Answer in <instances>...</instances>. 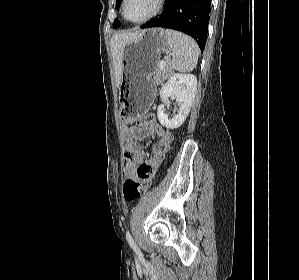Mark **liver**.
I'll use <instances>...</instances> for the list:
<instances>
[{
  "mask_svg": "<svg viewBox=\"0 0 299 280\" xmlns=\"http://www.w3.org/2000/svg\"><path fill=\"white\" fill-rule=\"evenodd\" d=\"M140 32H122L116 33L111 38V54L115 70V82L118 88L122 80V61L124 55V47L127 43L133 41Z\"/></svg>",
  "mask_w": 299,
  "mask_h": 280,
  "instance_id": "obj_1",
  "label": "liver"
}]
</instances>
